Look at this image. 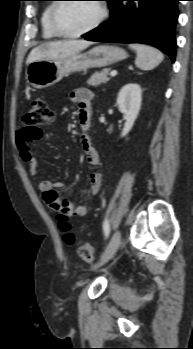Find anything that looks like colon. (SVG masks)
Wrapping results in <instances>:
<instances>
[{
    "instance_id": "1",
    "label": "colon",
    "mask_w": 193,
    "mask_h": 349,
    "mask_svg": "<svg viewBox=\"0 0 193 349\" xmlns=\"http://www.w3.org/2000/svg\"><path fill=\"white\" fill-rule=\"evenodd\" d=\"M55 114L50 108L48 102L45 99L34 100L23 117L25 127H27L33 137L38 138L41 135L39 126L49 125L54 121ZM58 218L60 221V228L64 232L69 230V217L66 213H58ZM65 240L68 243H72L74 238L72 234L67 233L65 235ZM78 255L87 263L91 264L95 261V253L93 248L88 243H83L78 247Z\"/></svg>"
}]
</instances>
